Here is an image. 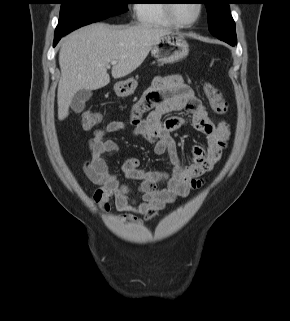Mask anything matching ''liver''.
<instances>
[{
  "label": "liver",
  "instance_id": "6515ba94",
  "mask_svg": "<svg viewBox=\"0 0 290 321\" xmlns=\"http://www.w3.org/2000/svg\"><path fill=\"white\" fill-rule=\"evenodd\" d=\"M168 29L149 25L115 26L93 23L67 35L61 43L58 84V119L69 115V106L79 90H96L110 82L109 63L114 79L125 77L137 69Z\"/></svg>",
  "mask_w": 290,
  "mask_h": 321
}]
</instances>
